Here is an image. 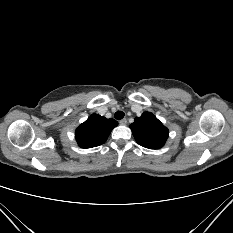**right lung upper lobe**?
I'll use <instances>...</instances> for the list:
<instances>
[{
	"mask_svg": "<svg viewBox=\"0 0 233 233\" xmlns=\"http://www.w3.org/2000/svg\"><path fill=\"white\" fill-rule=\"evenodd\" d=\"M117 125L116 120L94 113L76 129V141L81 148L99 146L107 140L112 129Z\"/></svg>",
	"mask_w": 233,
	"mask_h": 233,
	"instance_id": "cb5924a9",
	"label": "right lung upper lobe"
}]
</instances>
